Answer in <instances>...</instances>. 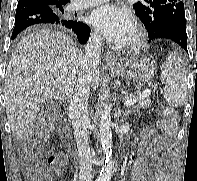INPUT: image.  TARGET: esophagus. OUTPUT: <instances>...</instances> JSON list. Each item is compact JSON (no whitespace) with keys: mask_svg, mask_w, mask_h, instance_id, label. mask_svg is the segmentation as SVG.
Returning a JSON list of instances; mask_svg holds the SVG:
<instances>
[{"mask_svg":"<svg viewBox=\"0 0 197 181\" xmlns=\"http://www.w3.org/2000/svg\"><path fill=\"white\" fill-rule=\"evenodd\" d=\"M106 65L109 68H116L115 56L111 54L110 52L106 53Z\"/></svg>","mask_w":197,"mask_h":181,"instance_id":"34e87169","label":"esophagus"}]
</instances>
